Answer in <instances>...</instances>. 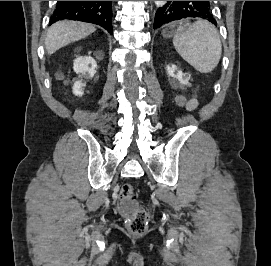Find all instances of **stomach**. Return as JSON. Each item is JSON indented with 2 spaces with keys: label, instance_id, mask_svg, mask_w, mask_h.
<instances>
[{
  "label": "stomach",
  "instance_id": "obj_1",
  "mask_svg": "<svg viewBox=\"0 0 271 266\" xmlns=\"http://www.w3.org/2000/svg\"><path fill=\"white\" fill-rule=\"evenodd\" d=\"M173 33H174L173 28L164 30V31L162 32V34H163V36H164L165 38H168V37L172 36Z\"/></svg>",
  "mask_w": 271,
  "mask_h": 266
}]
</instances>
